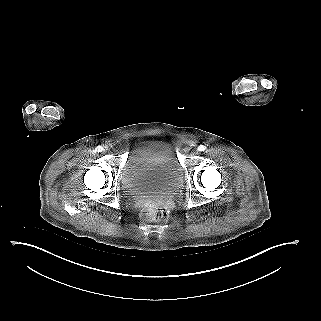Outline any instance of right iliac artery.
Returning a JSON list of instances; mask_svg holds the SVG:
<instances>
[{
	"mask_svg": "<svg viewBox=\"0 0 321 321\" xmlns=\"http://www.w3.org/2000/svg\"><path fill=\"white\" fill-rule=\"evenodd\" d=\"M102 150H103L102 146H97V147H96V151H97V152H102Z\"/></svg>",
	"mask_w": 321,
	"mask_h": 321,
	"instance_id": "82829eb1",
	"label": "right iliac artery"
}]
</instances>
